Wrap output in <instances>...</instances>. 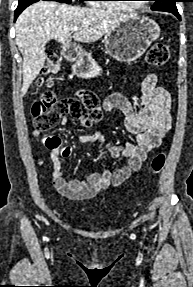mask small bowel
Segmentation results:
<instances>
[{"label": "small bowel", "instance_id": "small-bowel-1", "mask_svg": "<svg viewBox=\"0 0 193 287\" xmlns=\"http://www.w3.org/2000/svg\"><path fill=\"white\" fill-rule=\"evenodd\" d=\"M155 74L147 75L141 85V102L135 107L123 94L113 93L103 103L106 111L120 110L126 115L127 130L136 136L134 143L111 146L110 159L124 157L127 164L112 171L108 165L100 172H94L85 179L68 180L62 170V160L71 156L73 143L61 146L60 136H45L44 147L49 148L53 164V186L65 197L73 200L93 199L105 189L117 187L139 171L148 153L157 148L165 134L171 128L170 96L166 89L157 85ZM63 126L69 125V119H60ZM43 132L34 129L33 137H41ZM78 139L83 142L101 141L102 136L97 132L93 136L80 134Z\"/></svg>", "mask_w": 193, "mask_h": 287}]
</instances>
